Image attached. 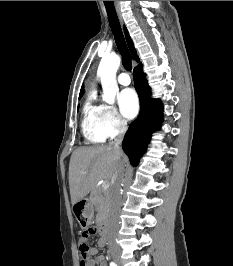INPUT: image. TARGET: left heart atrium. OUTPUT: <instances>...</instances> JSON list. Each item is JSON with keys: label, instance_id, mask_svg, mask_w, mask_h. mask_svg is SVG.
I'll use <instances>...</instances> for the list:
<instances>
[{"label": "left heart atrium", "instance_id": "39dd6f15", "mask_svg": "<svg viewBox=\"0 0 233 266\" xmlns=\"http://www.w3.org/2000/svg\"><path fill=\"white\" fill-rule=\"evenodd\" d=\"M119 109L126 119H133L139 110L138 97L134 90L128 88L120 92L118 96Z\"/></svg>", "mask_w": 233, "mask_h": 266}]
</instances>
